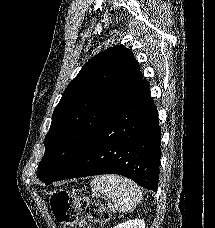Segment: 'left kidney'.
I'll list each match as a JSON object with an SVG mask.
<instances>
[{"mask_svg":"<svg viewBox=\"0 0 215 228\" xmlns=\"http://www.w3.org/2000/svg\"><path fill=\"white\" fill-rule=\"evenodd\" d=\"M115 228H145L144 220H127L123 224H118Z\"/></svg>","mask_w":215,"mask_h":228,"instance_id":"1","label":"left kidney"}]
</instances>
